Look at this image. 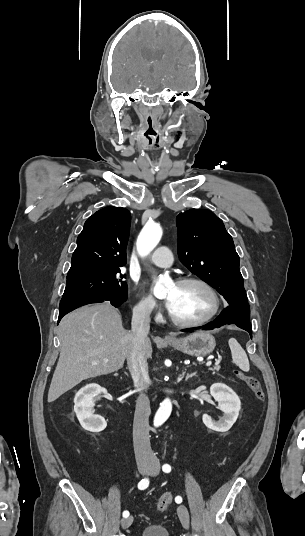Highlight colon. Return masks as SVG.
Here are the masks:
<instances>
[{"label":"colon","mask_w":305,"mask_h":536,"mask_svg":"<svg viewBox=\"0 0 305 536\" xmlns=\"http://www.w3.org/2000/svg\"><path fill=\"white\" fill-rule=\"evenodd\" d=\"M234 375L242 382H244L255 395L256 399L263 402L265 399V391L258 379L245 374L240 370H235ZM173 505V495L171 492L163 493L156 503V509L160 513H165L171 509Z\"/></svg>","instance_id":"1"}]
</instances>
